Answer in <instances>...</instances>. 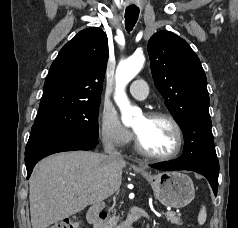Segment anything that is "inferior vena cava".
I'll list each match as a JSON object with an SVG mask.
<instances>
[{"label": "inferior vena cava", "mask_w": 238, "mask_h": 228, "mask_svg": "<svg viewBox=\"0 0 238 228\" xmlns=\"http://www.w3.org/2000/svg\"><path fill=\"white\" fill-rule=\"evenodd\" d=\"M104 152L108 154L110 158L120 159V153L114 148V145L111 142L104 143Z\"/></svg>", "instance_id": "inferior-vena-cava-1"}]
</instances>
